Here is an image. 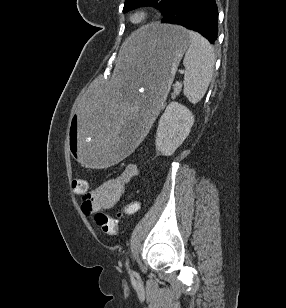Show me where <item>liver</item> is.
<instances>
[{"instance_id":"6515ba94","label":"liver","mask_w":286,"mask_h":308,"mask_svg":"<svg viewBox=\"0 0 286 308\" xmlns=\"http://www.w3.org/2000/svg\"><path fill=\"white\" fill-rule=\"evenodd\" d=\"M138 34L137 32H134L123 44L121 49V54L125 57H127L130 61H133V50L138 44Z\"/></svg>"}]
</instances>
